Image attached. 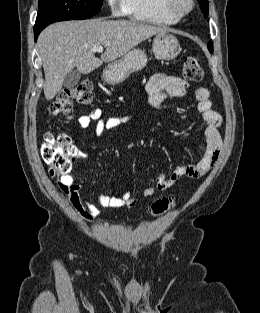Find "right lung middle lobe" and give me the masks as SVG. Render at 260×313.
I'll use <instances>...</instances> for the list:
<instances>
[{
    "instance_id": "1",
    "label": "right lung middle lobe",
    "mask_w": 260,
    "mask_h": 313,
    "mask_svg": "<svg viewBox=\"0 0 260 313\" xmlns=\"http://www.w3.org/2000/svg\"><path fill=\"white\" fill-rule=\"evenodd\" d=\"M103 0H39L37 24L64 20H82L96 15Z\"/></svg>"
}]
</instances>
